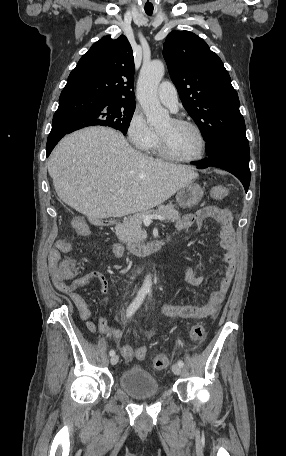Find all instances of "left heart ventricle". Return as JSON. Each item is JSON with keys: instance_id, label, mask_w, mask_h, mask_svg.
Segmentation results:
<instances>
[{"instance_id": "left-heart-ventricle-1", "label": "left heart ventricle", "mask_w": 286, "mask_h": 456, "mask_svg": "<svg viewBox=\"0 0 286 456\" xmlns=\"http://www.w3.org/2000/svg\"><path fill=\"white\" fill-rule=\"evenodd\" d=\"M157 132L164 138L169 152L177 157L190 158L200 152V139L190 127L177 125L170 119Z\"/></svg>"}]
</instances>
